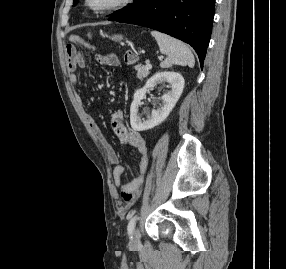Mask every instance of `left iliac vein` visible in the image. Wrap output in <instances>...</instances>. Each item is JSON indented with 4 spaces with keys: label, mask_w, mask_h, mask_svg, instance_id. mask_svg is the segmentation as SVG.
I'll return each mask as SVG.
<instances>
[{
    "label": "left iliac vein",
    "mask_w": 286,
    "mask_h": 269,
    "mask_svg": "<svg viewBox=\"0 0 286 269\" xmlns=\"http://www.w3.org/2000/svg\"><path fill=\"white\" fill-rule=\"evenodd\" d=\"M140 231L139 229H135L133 232H132V237H131V241L130 243L132 245H139L140 244Z\"/></svg>",
    "instance_id": "left-iliac-vein-1"
}]
</instances>
